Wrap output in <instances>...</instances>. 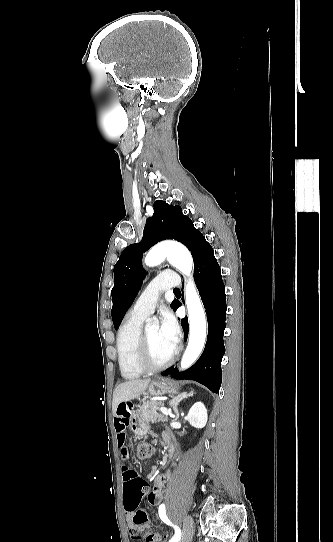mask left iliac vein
<instances>
[{
  "label": "left iliac vein",
  "mask_w": 333,
  "mask_h": 542,
  "mask_svg": "<svg viewBox=\"0 0 333 542\" xmlns=\"http://www.w3.org/2000/svg\"><path fill=\"white\" fill-rule=\"evenodd\" d=\"M194 534L193 520L190 516H187L183 523L182 538L180 542H191Z\"/></svg>",
  "instance_id": "4c4485c4"
}]
</instances>
